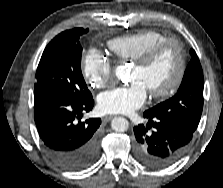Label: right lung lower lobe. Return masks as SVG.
<instances>
[{"label": "right lung lower lobe", "mask_w": 223, "mask_h": 188, "mask_svg": "<svg viewBox=\"0 0 223 188\" xmlns=\"http://www.w3.org/2000/svg\"><path fill=\"white\" fill-rule=\"evenodd\" d=\"M94 100H76L46 91L34 92V119L50 158L61 168L79 171L92 165L100 153V118L77 121L92 110Z\"/></svg>", "instance_id": "1"}]
</instances>
